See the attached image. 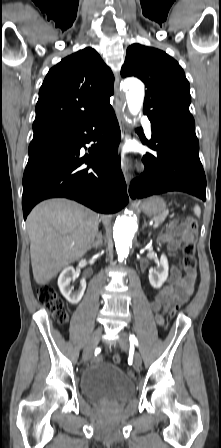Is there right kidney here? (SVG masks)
<instances>
[{
	"label": "right kidney",
	"instance_id": "1",
	"mask_svg": "<svg viewBox=\"0 0 221 448\" xmlns=\"http://www.w3.org/2000/svg\"><path fill=\"white\" fill-rule=\"evenodd\" d=\"M76 276H78V273L75 271V269L72 266H68L63 269L58 278V287L61 294L69 303L73 305L80 302L86 289V282L81 281L79 290L73 292L74 288L71 286V279L72 277Z\"/></svg>",
	"mask_w": 221,
	"mask_h": 448
}]
</instances>
